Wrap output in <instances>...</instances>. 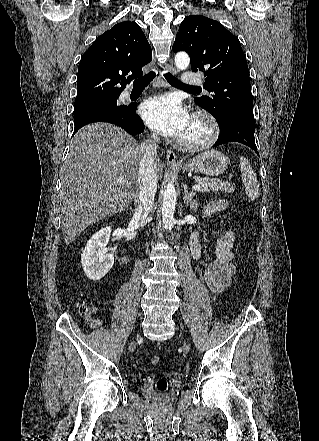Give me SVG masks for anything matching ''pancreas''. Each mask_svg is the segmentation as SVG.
<instances>
[{
    "mask_svg": "<svg viewBox=\"0 0 319 441\" xmlns=\"http://www.w3.org/2000/svg\"><path fill=\"white\" fill-rule=\"evenodd\" d=\"M195 182L199 185H201V188L199 191L201 192H225V193H233L234 187L229 183L225 181H220L217 179H211V178H201V177H195Z\"/></svg>",
    "mask_w": 319,
    "mask_h": 441,
    "instance_id": "1",
    "label": "pancreas"
}]
</instances>
